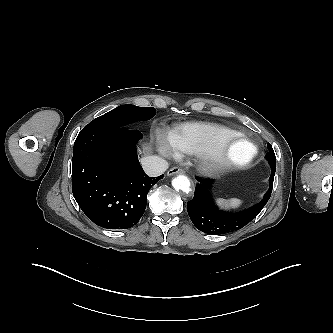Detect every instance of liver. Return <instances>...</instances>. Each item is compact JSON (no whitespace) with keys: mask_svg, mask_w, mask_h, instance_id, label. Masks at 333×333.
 <instances>
[{"mask_svg":"<svg viewBox=\"0 0 333 333\" xmlns=\"http://www.w3.org/2000/svg\"><path fill=\"white\" fill-rule=\"evenodd\" d=\"M151 151V148H150V146H148V145H143V147H142V153H148V152H150Z\"/></svg>","mask_w":333,"mask_h":333,"instance_id":"1","label":"liver"}]
</instances>
